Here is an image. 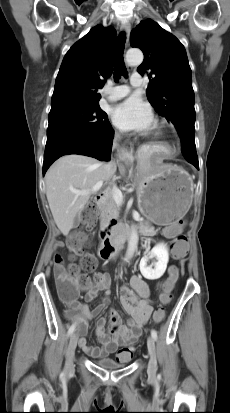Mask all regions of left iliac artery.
<instances>
[{
  "label": "left iliac artery",
  "mask_w": 230,
  "mask_h": 413,
  "mask_svg": "<svg viewBox=\"0 0 230 413\" xmlns=\"http://www.w3.org/2000/svg\"><path fill=\"white\" fill-rule=\"evenodd\" d=\"M151 335L154 339H157V331L156 330H152Z\"/></svg>",
  "instance_id": "1"
}]
</instances>
